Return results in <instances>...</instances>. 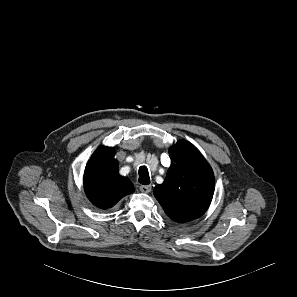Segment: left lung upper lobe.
I'll return each instance as SVG.
<instances>
[{"label":"left lung upper lobe","mask_w":297,"mask_h":297,"mask_svg":"<svg viewBox=\"0 0 297 297\" xmlns=\"http://www.w3.org/2000/svg\"><path fill=\"white\" fill-rule=\"evenodd\" d=\"M174 161L164 182L154 195L167 216L179 223L202 216L214 194L213 171L198 149L190 142L178 141L169 149Z\"/></svg>","instance_id":"left-lung-upper-lobe-1"}]
</instances>
